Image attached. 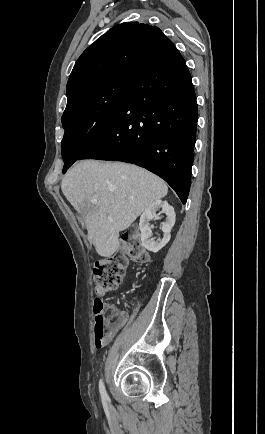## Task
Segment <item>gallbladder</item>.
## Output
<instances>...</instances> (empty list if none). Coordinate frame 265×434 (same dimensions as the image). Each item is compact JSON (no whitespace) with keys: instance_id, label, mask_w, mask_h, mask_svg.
I'll use <instances>...</instances> for the list:
<instances>
[{"instance_id":"obj_1","label":"gallbladder","mask_w":265,"mask_h":434,"mask_svg":"<svg viewBox=\"0 0 265 434\" xmlns=\"http://www.w3.org/2000/svg\"><path fill=\"white\" fill-rule=\"evenodd\" d=\"M79 220H82V217H79Z\"/></svg>"}]
</instances>
